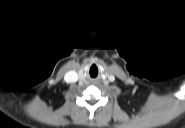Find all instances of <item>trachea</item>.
I'll return each mask as SVG.
<instances>
[{
    "mask_svg": "<svg viewBox=\"0 0 185 128\" xmlns=\"http://www.w3.org/2000/svg\"><path fill=\"white\" fill-rule=\"evenodd\" d=\"M98 68H97V66L96 65H93V66H91V68H90V70H89V74H90V76L92 77V78H95V77H97L98 76Z\"/></svg>",
    "mask_w": 185,
    "mask_h": 128,
    "instance_id": "3493384b",
    "label": "trachea"
}]
</instances>
